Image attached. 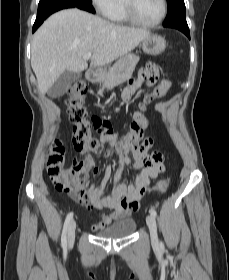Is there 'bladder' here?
<instances>
[{"instance_id":"obj_1","label":"bladder","mask_w":229,"mask_h":280,"mask_svg":"<svg viewBox=\"0 0 229 280\" xmlns=\"http://www.w3.org/2000/svg\"><path fill=\"white\" fill-rule=\"evenodd\" d=\"M136 229V221L134 219H123L109 228L96 232V235L103 238H120L132 235Z\"/></svg>"}]
</instances>
